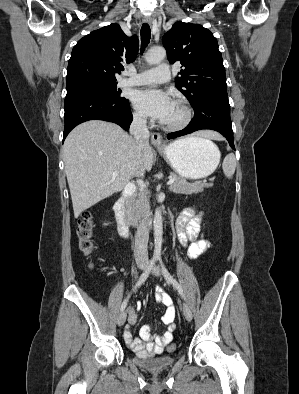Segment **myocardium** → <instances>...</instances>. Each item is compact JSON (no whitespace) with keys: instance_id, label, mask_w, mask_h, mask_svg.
<instances>
[{"instance_id":"myocardium-1","label":"myocardium","mask_w":299,"mask_h":394,"mask_svg":"<svg viewBox=\"0 0 299 394\" xmlns=\"http://www.w3.org/2000/svg\"><path fill=\"white\" fill-rule=\"evenodd\" d=\"M174 103H176L177 105H179L182 109L183 112V116L182 118L174 123H166V122H162V126L167 129V130H180L185 128L192 120V109L189 106V104L183 100V99H176L174 101Z\"/></svg>"}]
</instances>
